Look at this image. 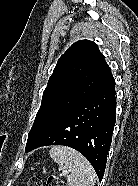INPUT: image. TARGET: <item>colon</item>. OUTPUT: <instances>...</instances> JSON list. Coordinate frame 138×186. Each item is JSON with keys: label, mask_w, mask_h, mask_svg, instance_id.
<instances>
[{"label": "colon", "mask_w": 138, "mask_h": 186, "mask_svg": "<svg viewBox=\"0 0 138 186\" xmlns=\"http://www.w3.org/2000/svg\"><path fill=\"white\" fill-rule=\"evenodd\" d=\"M27 186H42V180L39 176L32 177L28 181ZM46 186H65V185L59 177L51 175L47 178Z\"/></svg>", "instance_id": "colon-1"}]
</instances>
